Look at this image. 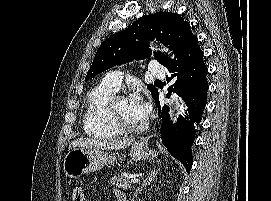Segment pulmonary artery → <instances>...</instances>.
<instances>
[{
    "label": "pulmonary artery",
    "instance_id": "1",
    "mask_svg": "<svg viewBox=\"0 0 271 201\" xmlns=\"http://www.w3.org/2000/svg\"><path fill=\"white\" fill-rule=\"evenodd\" d=\"M150 74L156 77H164L166 74L165 68L157 60H151L149 62ZM122 81L121 71H111L102 78V85L111 89L117 90Z\"/></svg>",
    "mask_w": 271,
    "mask_h": 201
}]
</instances>
